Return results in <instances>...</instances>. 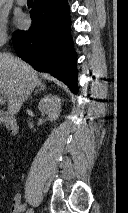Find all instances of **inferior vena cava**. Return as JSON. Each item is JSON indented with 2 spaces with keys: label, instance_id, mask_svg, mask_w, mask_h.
<instances>
[{
  "label": "inferior vena cava",
  "instance_id": "inferior-vena-cava-1",
  "mask_svg": "<svg viewBox=\"0 0 128 213\" xmlns=\"http://www.w3.org/2000/svg\"><path fill=\"white\" fill-rule=\"evenodd\" d=\"M9 58L12 60V56L10 54H8Z\"/></svg>",
  "mask_w": 128,
  "mask_h": 213
}]
</instances>
